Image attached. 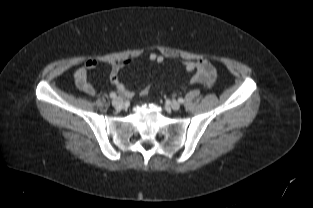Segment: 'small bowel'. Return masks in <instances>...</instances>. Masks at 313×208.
Instances as JSON below:
<instances>
[{
    "label": "small bowel",
    "mask_w": 313,
    "mask_h": 208,
    "mask_svg": "<svg viewBox=\"0 0 313 208\" xmlns=\"http://www.w3.org/2000/svg\"><path fill=\"white\" fill-rule=\"evenodd\" d=\"M149 60L156 63H162L164 61V57L157 53H150ZM128 62V59H119L111 63L110 81L120 94L126 98H131L133 97L134 93L128 90L119 79V72ZM97 65L98 61L94 58H90L85 61L83 66L79 67L74 72L75 86L78 90L89 96L95 95L96 90L89 82L88 72L95 69ZM184 67L186 71L194 72L191 78L192 83L207 84L210 80L214 79L215 69L206 59L186 61L184 63Z\"/></svg>",
    "instance_id": "obj_1"
}]
</instances>
